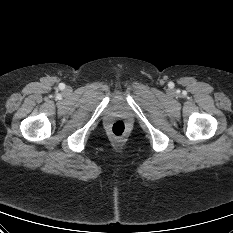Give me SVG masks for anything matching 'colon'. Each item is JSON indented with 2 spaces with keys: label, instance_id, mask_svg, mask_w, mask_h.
<instances>
[{
  "label": "colon",
  "instance_id": "colon-1",
  "mask_svg": "<svg viewBox=\"0 0 233 233\" xmlns=\"http://www.w3.org/2000/svg\"><path fill=\"white\" fill-rule=\"evenodd\" d=\"M127 130V125L124 121L118 120L111 124L110 131L116 137H122L125 135Z\"/></svg>",
  "mask_w": 233,
  "mask_h": 233
}]
</instances>
